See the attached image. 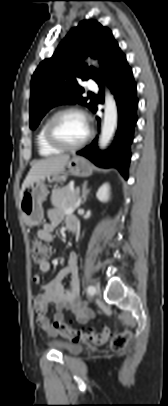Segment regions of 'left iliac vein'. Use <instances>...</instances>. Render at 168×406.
I'll list each match as a JSON object with an SVG mask.
<instances>
[{"instance_id": "obj_1", "label": "left iliac vein", "mask_w": 168, "mask_h": 406, "mask_svg": "<svg viewBox=\"0 0 168 406\" xmlns=\"http://www.w3.org/2000/svg\"><path fill=\"white\" fill-rule=\"evenodd\" d=\"M94 288H95V294H96V295H99L100 292H101L100 286H99V285H95Z\"/></svg>"}]
</instances>
